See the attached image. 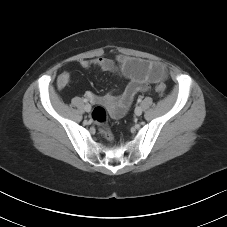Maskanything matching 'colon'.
I'll return each instance as SVG.
<instances>
[{
  "instance_id": "5ec220e1",
  "label": "colon",
  "mask_w": 227,
  "mask_h": 227,
  "mask_svg": "<svg viewBox=\"0 0 227 227\" xmlns=\"http://www.w3.org/2000/svg\"><path fill=\"white\" fill-rule=\"evenodd\" d=\"M158 69L162 70L159 66ZM156 92L160 96H164L166 93V86L164 83H159L156 85ZM92 121L100 127L102 136L109 142L113 141V135L107 125V114L102 106H97L94 108L92 115Z\"/></svg>"
}]
</instances>
